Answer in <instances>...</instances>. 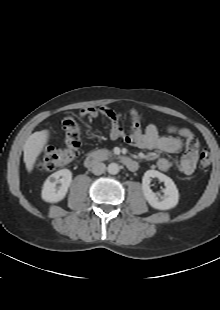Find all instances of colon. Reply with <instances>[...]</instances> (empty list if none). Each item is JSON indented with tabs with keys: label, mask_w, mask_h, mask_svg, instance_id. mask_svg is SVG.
<instances>
[{
	"label": "colon",
	"mask_w": 220,
	"mask_h": 310,
	"mask_svg": "<svg viewBox=\"0 0 220 310\" xmlns=\"http://www.w3.org/2000/svg\"><path fill=\"white\" fill-rule=\"evenodd\" d=\"M119 118V117H118ZM138 119H134V123ZM64 146L47 147L43 151L40 158L37 160V167L40 170L53 171L56 168L65 166L71 163L77 156L78 150L82 143V134L77 121L69 116L63 121ZM212 163V156L206 149L199 151V164L202 169H207Z\"/></svg>",
	"instance_id": "5ec220e1"
}]
</instances>
